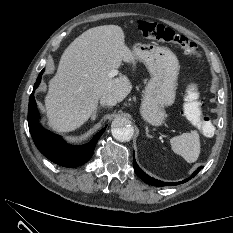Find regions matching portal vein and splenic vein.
Listing matches in <instances>:
<instances>
[{
    "instance_id": "1",
    "label": "portal vein and splenic vein",
    "mask_w": 233,
    "mask_h": 233,
    "mask_svg": "<svg viewBox=\"0 0 233 233\" xmlns=\"http://www.w3.org/2000/svg\"><path fill=\"white\" fill-rule=\"evenodd\" d=\"M116 75H118V70H116V69L111 70V71L109 72V74H108V76H109L110 78H113V77H115Z\"/></svg>"
}]
</instances>
